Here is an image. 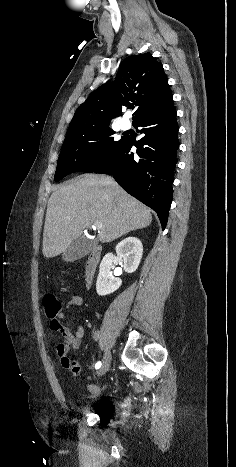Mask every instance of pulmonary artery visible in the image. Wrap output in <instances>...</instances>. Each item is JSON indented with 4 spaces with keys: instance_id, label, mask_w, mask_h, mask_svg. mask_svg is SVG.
<instances>
[{
    "instance_id": "obj_1",
    "label": "pulmonary artery",
    "mask_w": 236,
    "mask_h": 467,
    "mask_svg": "<svg viewBox=\"0 0 236 467\" xmlns=\"http://www.w3.org/2000/svg\"><path fill=\"white\" fill-rule=\"evenodd\" d=\"M120 127L123 129V130H127L129 127H130V121L126 118L122 119L120 121Z\"/></svg>"
}]
</instances>
